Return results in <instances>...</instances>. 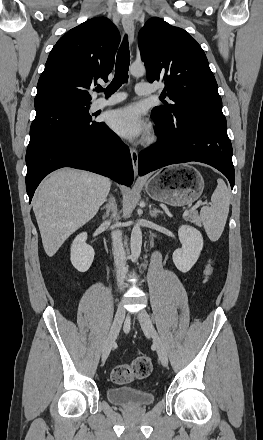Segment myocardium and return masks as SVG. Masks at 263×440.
<instances>
[{
    "label": "myocardium",
    "mask_w": 263,
    "mask_h": 440,
    "mask_svg": "<svg viewBox=\"0 0 263 440\" xmlns=\"http://www.w3.org/2000/svg\"><path fill=\"white\" fill-rule=\"evenodd\" d=\"M153 140H154V137H153V136H150V137L147 138V142H148V143H151Z\"/></svg>",
    "instance_id": "obj_1"
}]
</instances>
